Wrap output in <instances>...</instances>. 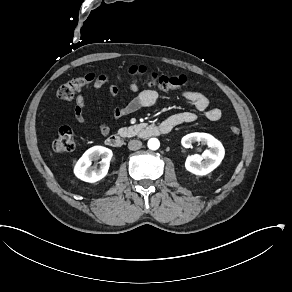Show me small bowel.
<instances>
[{"instance_id": "small-bowel-1", "label": "small bowel", "mask_w": 292, "mask_h": 292, "mask_svg": "<svg viewBox=\"0 0 292 292\" xmlns=\"http://www.w3.org/2000/svg\"><path fill=\"white\" fill-rule=\"evenodd\" d=\"M105 86H108L112 96L117 94L116 88L109 83L108 77L105 74L98 75L93 87L99 90ZM130 92L132 93V98L126 104L114 108V115L117 118L130 115L144 108L152 107L160 98V94L157 91L151 89L139 90L135 84L130 85ZM181 95L184 99L189 101L197 111L202 112L209 121L216 122L221 119V109L218 107H211L209 99L202 93L184 91ZM74 116L75 119L82 124L96 123L102 136L106 137L109 135L110 128L106 121L89 118L86 99L82 94H78L75 97ZM196 119L197 114L195 112L184 111L169 115L161 124H169L173 129L179 125L193 122Z\"/></svg>"}]
</instances>
